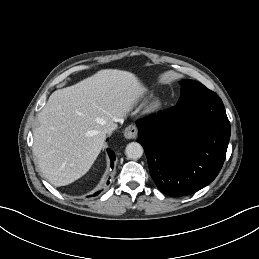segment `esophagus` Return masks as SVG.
Listing matches in <instances>:
<instances>
[{"mask_svg": "<svg viewBox=\"0 0 259 259\" xmlns=\"http://www.w3.org/2000/svg\"><path fill=\"white\" fill-rule=\"evenodd\" d=\"M138 135V129L134 124L129 125L124 130V137L126 139H135Z\"/></svg>", "mask_w": 259, "mask_h": 259, "instance_id": "obj_1", "label": "esophagus"}]
</instances>
